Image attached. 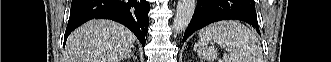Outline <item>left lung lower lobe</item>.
Instances as JSON below:
<instances>
[{
  "mask_svg": "<svg viewBox=\"0 0 331 62\" xmlns=\"http://www.w3.org/2000/svg\"><path fill=\"white\" fill-rule=\"evenodd\" d=\"M229 19L247 22L259 31L254 0H198L183 42L206 25Z\"/></svg>",
  "mask_w": 331,
  "mask_h": 62,
  "instance_id": "obj_1",
  "label": "left lung lower lobe"
}]
</instances>
